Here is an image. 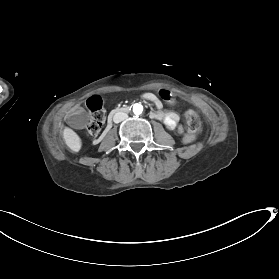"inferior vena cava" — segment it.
I'll use <instances>...</instances> for the list:
<instances>
[{"mask_svg": "<svg viewBox=\"0 0 279 279\" xmlns=\"http://www.w3.org/2000/svg\"><path fill=\"white\" fill-rule=\"evenodd\" d=\"M128 118L127 114L126 113H123V112H117L115 115H114V122L115 123H119L121 121H125L126 119ZM122 122V123H123Z\"/></svg>", "mask_w": 279, "mask_h": 279, "instance_id": "obj_1", "label": "inferior vena cava"}]
</instances>
